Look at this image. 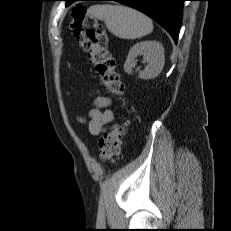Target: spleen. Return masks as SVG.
Wrapping results in <instances>:
<instances>
[{
	"instance_id": "3e777b00",
	"label": "spleen",
	"mask_w": 231,
	"mask_h": 231,
	"mask_svg": "<svg viewBox=\"0 0 231 231\" xmlns=\"http://www.w3.org/2000/svg\"><path fill=\"white\" fill-rule=\"evenodd\" d=\"M88 13L104 21L107 29L122 39H137L153 30L152 20L145 14L123 5L96 4Z\"/></svg>"
}]
</instances>
